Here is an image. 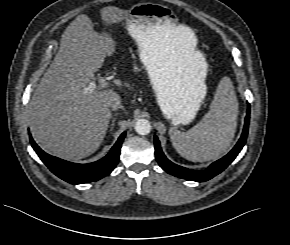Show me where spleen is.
Here are the masks:
<instances>
[{"mask_svg":"<svg viewBox=\"0 0 290 245\" xmlns=\"http://www.w3.org/2000/svg\"><path fill=\"white\" fill-rule=\"evenodd\" d=\"M238 103L232 82L224 77L210 104V110L187 132L170 130L176 151L194 162L214 160L229 148L235 134Z\"/></svg>","mask_w":290,"mask_h":245,"instance_id":"1","label":"spleen"}]
</instances>
